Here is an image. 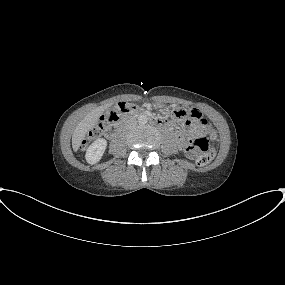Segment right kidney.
<instances>
[{"label": "right kidney", "mask_w": 285, "mask_h": 285, "mask_svg": "<svg viewBox=\"0 0 285 285\" xmlns=\"http://www.w3.org/2000/svg\"><path fill=\"white\" fill-rule=\"evenodd\" d=\"M107 147V141L103 138L95 140L87 149L86 160L90 164H95L102 158L105 149Z\"/></svg>", "instance_id": "1"}]
</instances>
